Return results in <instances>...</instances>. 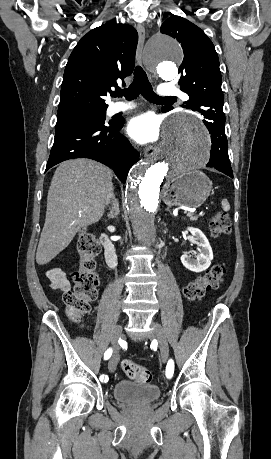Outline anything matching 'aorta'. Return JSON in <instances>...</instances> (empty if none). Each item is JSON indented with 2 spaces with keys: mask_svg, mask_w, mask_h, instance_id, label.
<instances>
[{
  "mask_svg": "<svg viewBox=\"0 0 271 459\" xmlns=\"http://www.w3.org/2000/svg\"><path fill=\"white\" fill-rule=\"evenodd\" d=\"M182 56L179 43L164 35L153 38L146 48L148 64L165 80L176 76V62ZM209 151V137L200 120L180 113L167 120L156 156L132 167L126 205L135 235L142 243L152 245L156 240L155 216L164 177L175 178L204 167Z\"/></svg>",
  "mask_w": 271,
  "mask_h": 459,
  "instance_id": "1",
  "label": "aorta"
}]
</instances>
